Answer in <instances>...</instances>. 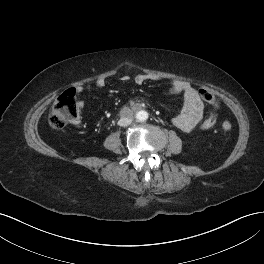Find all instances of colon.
Listing matches in <instances>:
<instances>
[{"instance_id":"colon-1","label":"colon","mask_w":264,"mask_h":264,"mask_svg":"<svg viewBox=\"0 0 264 264\" xmlns=\"http://www.w3.org/2000/svg\"><path fill=\"white\" fill-rule=\"evenodd\" d=\"M199 94L207 103L215 108L218 107V101L211 91L201 88L199 89ZM78 117L79 108L75 97V91L69 89L57 98L49 118V123L54 129H62L67 124L75 122ZM216 120V115L211 114L203 120L201 127L204 129L211 128L215 125ZM222 129L229 132L232 129V123L230 121H224L222 123Z\"/></svg>"}]
</instances>
